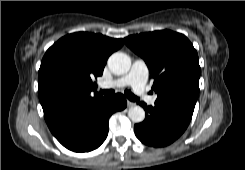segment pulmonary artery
<instances>
[{
	"label": "pulmonary artery",
	"instance_id": "e3ab8cb5",
	"mask_svg": "<svg viewBox=\"0 0 245 170\" xmlns=\"http://www.w3.org/2000/svg\"><path fill=\"white\" fill-rule=\"evenodd\" d=\"M148 75L149 68L147 64L143 60L137 59L127 75L112 81H103L100 86L103 89H110L130 85L135 93L145 99L150 105H154L157 97L156 95L148 96L145 87Z\"/></svg>",
	"mask_w": 245,
	"mask_h": 170
}]
</instances>
